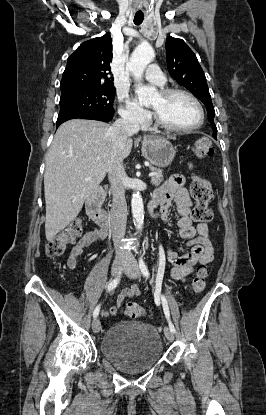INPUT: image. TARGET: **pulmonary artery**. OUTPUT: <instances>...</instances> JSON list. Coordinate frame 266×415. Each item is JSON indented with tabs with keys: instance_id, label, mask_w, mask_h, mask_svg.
Instances as JSON below:
<instances>
[{
	"instance_id": "1",
	"label": "pulmonary artery",
	"mask_w": 266,
	"mask_h": 415,
	"mask_svg": "<svg viewBox=\"0 0 266 415\" xmlns=\"http://www.w3.org/2000/svg\"><path fill=\"white\" fill-rule=\"evenodd\" d=\"M145 78L158 86H163L166 83L165 76L156 65H150L148 67L145 73Z\"/></svg>"
}]
</instances>
